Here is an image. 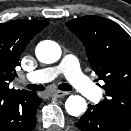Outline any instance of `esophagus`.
<instances>
[{
	"mask_svg": "<svg viewBox=\"0 0 131 131\" xmlns=\"http://www.w3.org/2000/svg\"><path fill=\"white\" fill-rule=\"evenodd\" d=\"M69 94V92H66V91H54L53 93H52V95L54 96V97H64V96H66V95H68Z\"/></svg>",
	"mask_w": 131,
	"mask_h": 131,
	"instance_id": "esophagus-1",
	"label": "esophagus"
}]
</instances>
